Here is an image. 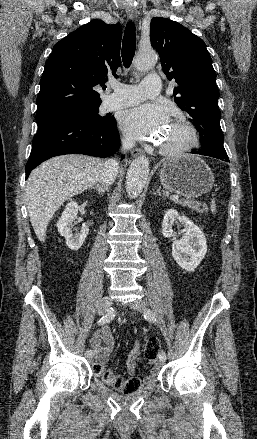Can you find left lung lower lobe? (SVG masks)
I'll list each match as a JSON object with an SVG mask.
<instances>
[{
  "mask_svg": "<svg viewBox=\"0 0 257 439\" xmlns=\"http://www.w3.org/2000/svg\"><path fill=\"white\" fill-rule=\"evenodd\" d=\"M191 153L205 155V156H211V157L229 162L227 154L226 155L225 154L224 155H214V154L205 153V152H201V151H192Z\"/></svg>",
  "mask_w": 257,
  "mask_h": 439,
  "instance_id": "obj_1",
  "label": "left lung lower lobe"
}]
</instances>
